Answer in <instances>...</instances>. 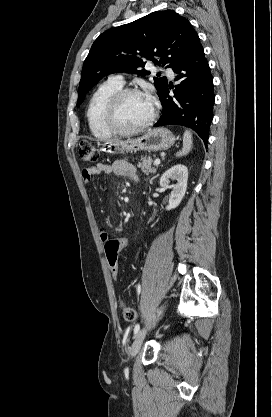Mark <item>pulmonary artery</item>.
Segmentation results:
<instances>
[{
    "mask_svg": "<svg viewBox=\"0 0 272 417\" xmlns=\"http://www.w3.org/2000/svg\"><path fill=\"white\" fill-rule=\"evenodd\" d=\"M167 73L170 77H174V73L171 69L167 70ZM113 79H115L116 81L120 82V83H124L123 77L121 75H116L113 77Z\"/></svg>",
    "mask_w": 272,
    "mask_h": 417,
    "instance_id": "e3ab8cb5",
    "label": "pulmonary artery"
}]
</instances>
